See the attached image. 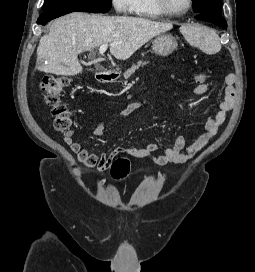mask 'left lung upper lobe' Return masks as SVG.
I'll use <instances>...</instances> for the list:
<instances>
[{
  "mask_svg": "<svg viewBox=\"0 0 255 272\" xmlns=\"http://www.w3.org/2000/svg\"><path fill=\"white\" fill-rule=\"evenodd\" d=\"M194 3V12L202 13L206 11H214L221 13V0H192Z\"/></svg>",
  "mask_w": 255,
  "mask_h": 272,
  "instance_id": "left-lung-upper-lobe-1",
  "label": "left lung upper lobe"
}]
</instances>
